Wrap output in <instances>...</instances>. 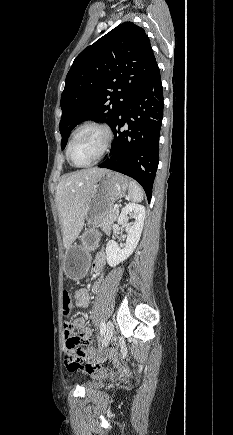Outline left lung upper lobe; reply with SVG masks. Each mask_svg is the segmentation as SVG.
Masks as SVG:
<instances>
[{
  "mask_svg": "<svg viewBox=\"0 0 233 435\" xmlns=\"http://www.w3.org/2000/svg\"><path fill=\"white\" fill-rule=\"evenodd\" d=\"M156 65L149 37L132 22L120 24L85 48L75 58L61 95V149L82 121H103L112 127Z\"/></svg>",
  "mask_w": 233,
  "mask_h": 435,
  "instance_id": "obj_1",
  "label": "left lung upper lobe"
}]
</instances>
